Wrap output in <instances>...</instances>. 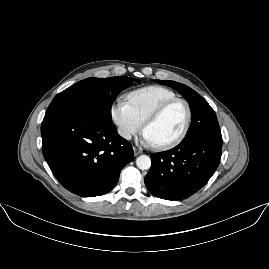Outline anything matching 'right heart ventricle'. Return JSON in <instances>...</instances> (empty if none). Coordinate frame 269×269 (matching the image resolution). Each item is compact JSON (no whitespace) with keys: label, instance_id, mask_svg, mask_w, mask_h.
<instances>
[{"label":"right heart ventricle","instance_id":"1","mask_svg":"<svg viewBox=\"0 0 269 269\" xmlns=\"http://www.w3.org/2000/svg\"><path fill=\"white\" fill-rule=\"evenodd\" d=\"M176 97L174 91L161 86H149L132 91L128 95L130 107L142 124L154 109Z\"/></svg>","mask_w":269,"mask_h":269}]
</instances>
